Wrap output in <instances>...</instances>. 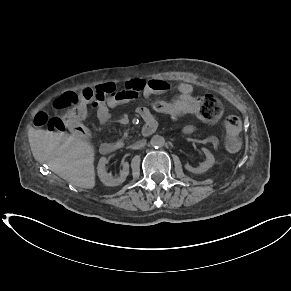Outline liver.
Returning a JSON list of instances; mask_svg holds the SVG:
<instances>
[{"mask_svg": "<svg viewBox=\"0 0 291 291\" xmlns=\"http://www.w3.org/2000/svg\"><path fill=\"white\" fill-rule=\"evenodd\" d=\"M29 143L36 160L44 161L52 171L73 186H95L94 147L66 132L42 129L29 131Z\"/></svg>", "mask_w": 291, "mask_h": 291, "instance_id": "1", "label": "liver"}]
</instances>
